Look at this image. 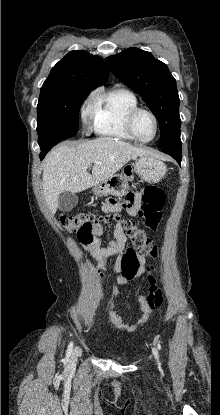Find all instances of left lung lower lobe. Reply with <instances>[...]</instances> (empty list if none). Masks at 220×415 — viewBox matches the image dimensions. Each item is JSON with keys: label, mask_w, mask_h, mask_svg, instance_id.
<instances>
[{"label": "left lung lower lobe", "mask_w": 220, "mask_h": 415, "mask_svg": "<svg viewBox=\"0 0 220 415\" xmlns=\"http://www.w3.org/2000/svg\"><path fill=\"white\" fill-rule=\"evenodd\" d=\"M162 152L170 155L171 157H173L178 164L180 165L181 160H182V154H181V148L177 149V148H162L161 149Z\"/></svg>", "instance_id": "0a47b994"}]
</instances>
